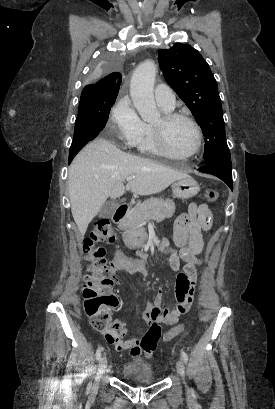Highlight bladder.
<instances>
[{"mask_svg":"<svg viewBox=\"0 0 275 409\" xmlns=\"http://www.w3.org/2000/svg\"><path fill=\"white\" fill-rule=\"evenodd\" d=\"M121 375L129 384L148 385L157 382L152 366L145 361H128L124 363Z\"/></svg>","mask_w":275,"mask_h":409,"instance_id":"31cf9c89","label":"bladder"}]
</instances>
